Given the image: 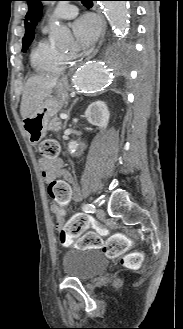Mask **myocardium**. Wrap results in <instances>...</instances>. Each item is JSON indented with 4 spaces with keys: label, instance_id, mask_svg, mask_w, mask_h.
<instances>
[{
    "label": "myocardium",
    "instance_id": "f54148a6",
    "mask_svg": "<svg viewBox=\"0 0 183 329\" xmlns=\"http://www.w3.org/2000/svg\"><path fill=\"white\" fill-rule=\"evenodd\" d=\"M70 60H71L70 56L66 55V62H67V64L70 62Z\"/></svg>",
    "mask_w": 183,
    "mask_h": 329
}]
</instances>
